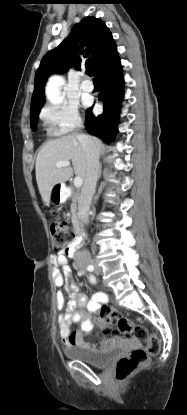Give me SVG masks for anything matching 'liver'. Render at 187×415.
<instances>
[{"mask_svg":"<svg viewBox=\"0 0 187 415\" xmlns=\"http://www.w3.org/2000/svg\"><path fill=\"white\" fill-rule=\"evenodd\" d=\"M77 134L63 136L47 141L40 149L36 158V181L42 200L50 203L52 188L66 182L75 173L82 180L86 175L85 151L77 138ZM94 143L98 154L103 148L100 139L88 136ZM72 161V166L56 167L60 161Z\"/></svg>","mask_w":187,"mask_h":415,"instance_id":"1","label":"liver"}]
</instances>
